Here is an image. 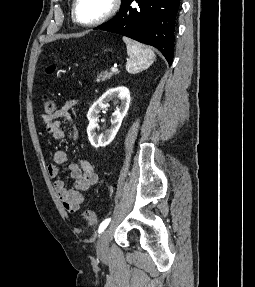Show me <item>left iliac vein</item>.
Masks as SVG:
<instances>
[{
    "label": "left iliac vein",
    "mask_w": 255,
    "mask_h": 287,
    "mask_svg": "<svg viewBox=\"0 0 255 287\" xmlns=\"http://www.w3.org/2000/svg\"><path fill=\"white\" fill-rule=\"evenodd\" d=\"M97 253L104 257L109 253V231L106 229L101 233L97 242Z\"/></svg>",
    "instance_id": "4c4485c4"
}]
</instances>
